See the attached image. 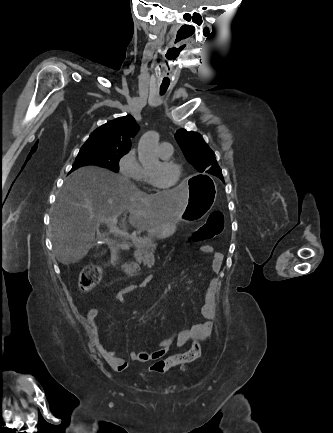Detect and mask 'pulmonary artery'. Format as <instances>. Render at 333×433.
<instances>
[{"label":"pulmonary artery","instance_id":"obj_1","mask_svg":"<svg viewBox=\"0 0 333 433\" xmlns=\"http://www.w3.org/2000/svg\"><path fill=\"white\" fill-rule=\"evenodd\" d=\"M158 151H159V154L161 157L168 158L173 153V147L168 142H162V143H160V145L158 147Z\"/></svg>","mask_w":333,"mask_h":433}]
</instances>
